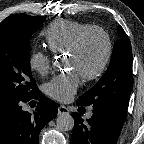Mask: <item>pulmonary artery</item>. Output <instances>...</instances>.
<instances>
[{"label": "pulmonary artery", "mask_w": 144, "mask_h": 144, "mask_svg": "<svg viewBox=\"0 0 144 144\" xmlns=\"http://www.w3.org/2000/svg\"><path fill=\"white\" fill-rule=\"evenodd\" d=\"M91 116H92V113L89 112V113L87 114V117L90 118Z\"/></svg>", "instance_id": "obj_1"}]
</instances>
